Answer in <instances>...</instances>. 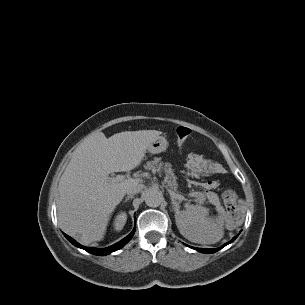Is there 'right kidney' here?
Masks as SVG:
<instances>
[{"label": "right kidney", "mask_w": 305, "mask_h": 305, "mask_svg": "<svg viewBox=\"0 0 305 305\" xmlns=\"http://www.w3.org/2000/svg\"><path fill=\"white\" fill-rule=\"evenodd\" d=\"M127 221V214L125 212H121L116 215L113 221V227L115 231H121L126 224Z\"/></svg>", "instance_id": "obj_1"}]
</instances>
